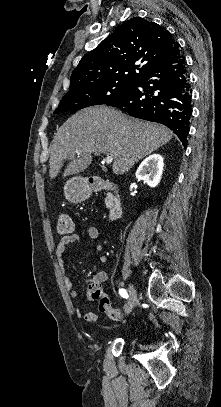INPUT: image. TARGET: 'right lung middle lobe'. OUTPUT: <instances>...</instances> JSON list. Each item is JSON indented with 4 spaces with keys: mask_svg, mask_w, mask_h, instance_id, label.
<instances>
[{
    "mask_svg": "<svg viewBox=\"0 0 221 407\" xmlns=\"http://www.w3.org/2000/svg\"><path fill=\"white\" fill-rule=\"evenodd\" d=\"M134 82L100 83L67 92L54 113L78 110L85 107L107 104L126 95L134 87Z\"/></svg>",
    "mask_w": 221,
    "mask_h": 407,
    "instance_id": "obj_1",
    "label": "right lung middle lobe"
}]
</instances>
